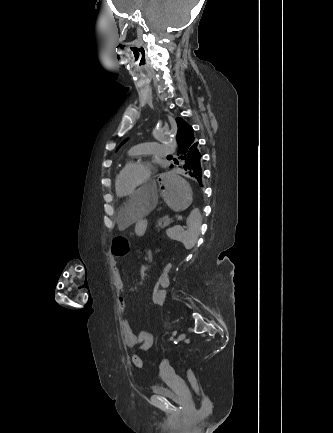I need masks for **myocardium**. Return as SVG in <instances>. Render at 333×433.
Segmentation results:
<instances>
[{"instance_id": "1", "label": "myocardium", "mask_w": 333, "mask_h": 433, "mask_svg": "<svg viewBox=\"0 0 333 433\" xmlns=\"http://www.w3.org/2000/svg\"><path fill=\"white\" fill-rule=\"evenodd\" d=\"M136 167H140V168L145 169L146 175H145L143 181L133 191L126 193V194L121 193L120 189H119L120 178L122 177V175L126 171H128L132 168H136ZM152 169H153L152 165L148 161H145V160H137V161H133V162L128 163L124 168H122V170L119 172V174L116 177V180H115L116 192L119 195H123V196H131V195L135 194L139 189L147 186L150 183V177H151Z\"/></svg>"}]
</instances>
